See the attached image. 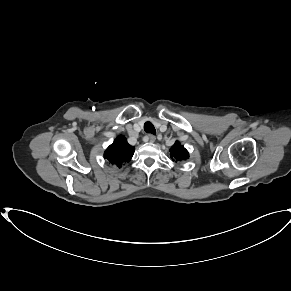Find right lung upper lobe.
Instances as JSON below:
<instances>
[{
    "label": "right lung upper lobe",
    "instance_id": "1",
    "mask_svg": "<svg viewBox=\"0 0 291 291\" xmlns=\"http://www.w3.org/2000/svg\"><path fill=\"white\" fill-rule=\"evenodd\" d=\"M134 154V147L129 145L124 136H119L106 149L104 158L119 168L123 163L129 162Z\"/></svg>",
    "mask_w": 291,
    "mask_h": 291
}]
</instances>
